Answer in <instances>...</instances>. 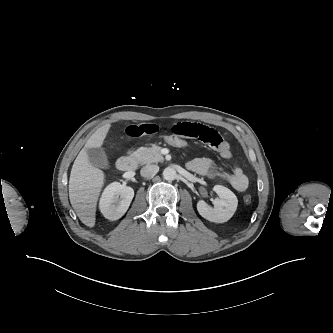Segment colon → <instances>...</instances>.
<instances>
[{"label":"colon","instance_id":"obj_1","mask_svg":"<svg viewBox=\"0 0 333 333\" xmlns=\"http://www.w3.org/2000/svg\"><path fill=\"white\" fill-rule=\"evenodd\" d=\"M159 138L164 141L166 144L171 146L174 149L178 150H186L189 149L192 145V142L190 139L181 137L176 134H171V133H166V134H161ZM244 202L246 204H250L252 202V197L251 195H245L244 196Z\"/></svg>","mask_w":333,"mask_h":333}]
</instances>
